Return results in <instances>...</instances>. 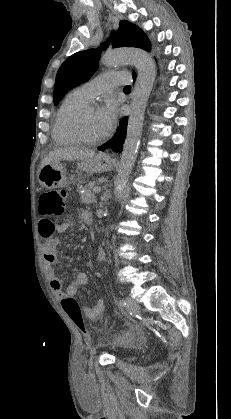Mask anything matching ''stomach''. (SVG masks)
<instances>
[{"label":"stomach","instance_id":"stomach-1","mask_svg":"<svg viewBox=\"0 0 231 419\" xmlns=\"http://www.w3.org/2000/svg\"><path fill=\"white\" fill-rule=\"evenodd\" d=\"M113 166L114 160L104 153L95 154L78 163V168L80 170L89 173L107 172L110 171ZM37 177L39 184L47 189L66 187L69 183L64 166L60 161L48 163L40 167Z\"/></svg>","mask_w":231,"mask_h":419}]
</instances>
